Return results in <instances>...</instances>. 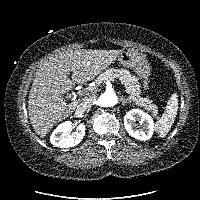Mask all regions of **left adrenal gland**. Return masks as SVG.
<instances>
[{"label": "left adrenal gland", "mask_w": 200, "mask_h": 200, "mask_svg": "<svg viewBox=\"0 0 200 200\" xmlns=\"http://www.w3.org/2000/svg\"><path fill=\"white\" fill-rule=\"evenodd\" d=\"M122 104L125 105L126 103H132L129 99L122 98Z\"/></svg>", "instance_id": "a2214340"}]
</instances>
